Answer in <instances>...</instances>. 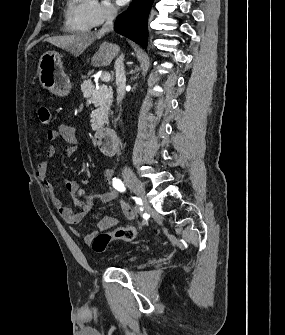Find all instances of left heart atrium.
<instances>
[{"label":"left heart atrium","mask_w":285,"mask_h":335,"mask_svg":"<svg viewBox=\"0 0 285 335\" xmlns=\"http://www.w3.org/2000/svg\"><path fill=\"white\" fill-rule=\"evenodd\" d=\"M129 1H117V3L121 6H124L128 3Z\"/></svg>","instance_id":"left-heart-atrium-1"}]
</instances>
